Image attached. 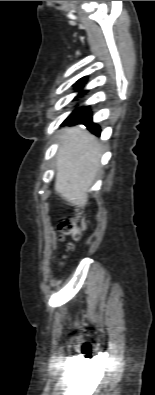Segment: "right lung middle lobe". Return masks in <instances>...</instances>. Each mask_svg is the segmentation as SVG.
<instances>
[{
  "mask_svg": "<svg viewBox=\"0 0 155 395\" xmlns=\"http://www.w3.org/2000/svg\"><path fill=\"white\" fill-rule=\"evenodd\" d=\"M77 91H80V93L78 94V97H80V96L84 95L85 93H87V91H82V87L77 88ZM86 108H87V107H81V108L76 109V110L70 115V117L75 116L76 114L82 112V111H83L84 109H86ZM70 117H69V118H70Z\"/></svg>",
  "mask_w": 155,
  "mask_h": 395,
  "instance_id": "obj_1",
  "label": "right lung middle lobe"
}]
</instances>
